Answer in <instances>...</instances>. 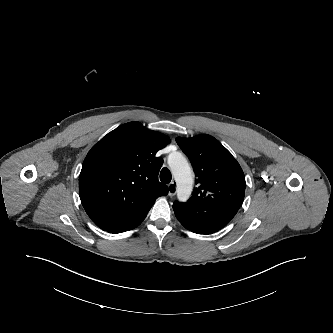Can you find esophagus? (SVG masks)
<instances>
[{
	"instance_id": "34e87169",
	"label": "esophagus",
	"mask_w": 333,
	"mask_h": 333,
	"mask_svg": "<svg viewBox=\"0 0 333 333\" xmlns=\"http://www.w3.org/2000/svg\"><path fill=\"white\" fill-rule=\"evenodd\" d=\"M176 194V184L174 181H172L169 185H168V195L170 197H173Z\"/></svg>"
}]
</instances>
